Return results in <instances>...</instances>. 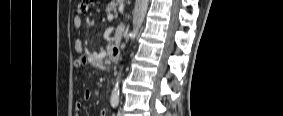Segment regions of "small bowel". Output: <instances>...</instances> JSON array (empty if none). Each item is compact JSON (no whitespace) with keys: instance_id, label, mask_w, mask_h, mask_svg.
<instances>
[{"instance_id":"small-bowel-1","label":"small bowel","mask_w":283,"mask_h":116,"mask_svg":"<svg viewBox=\"0 0 283 116\" xmlns=\"http://www.w3.org/2000/svg\"><path fill=\"white\" fill-rule=\"evenodd\" d=\"M79 11L81 13L84 12L83 8L81 7L79 9ZM73 25L76 29H81L83 26V21L82 18L79 15L74 16L73 18ZM74 49L76 52L81 53L83 52V47H82V43L80 39H76L74 42ZM98 62L97 56H81L79 57L76 62H75V67L77 68H81L84 67L88 64H92L95 65ZM94 97V93L91 90H85L84 94H83V98L85 100H91ZM75 109L77 111H80L82 109V104L81 103H77L75 106ZM108 114L107 110L105 108L100 110L99 115L100 116H106Z\"/></svg>"}]
</instances>
